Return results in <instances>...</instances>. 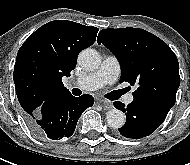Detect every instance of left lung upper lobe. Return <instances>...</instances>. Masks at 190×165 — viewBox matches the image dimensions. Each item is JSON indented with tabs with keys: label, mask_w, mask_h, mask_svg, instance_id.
<instances>
[{
	"label": "left lung upper lobe",
	"mask_w": 190,
	"mask_h": 165,
	"mask_svg": "<svg viewBox=\"0 0 190 165\" xmlns=\"http://www.w3.org/2000/svg\"><path fill=\"white\" fill-rule=\"evenodd\" d=\"M97 42L119 60L120 83L127 81L137 87L134 100L175 104L180 85L179 63L164 41L139 28H110L99 32Z\"/></svg>",
	"instance_id": "1"
}]
</instances>
